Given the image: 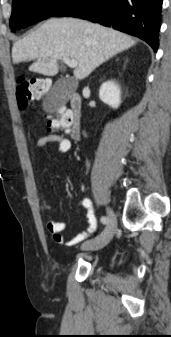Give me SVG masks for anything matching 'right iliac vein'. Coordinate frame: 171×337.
I'll return each mask as SVG.
<instances>
[{"label": "right iliac vein", "instance_id": "obj_1", "mask_svg": "<svg viewBox=\"0 0 171 337\" xmlns=\"http://www.w3.org/2000/svg\"><path fill=\"white\" fill-rule=\"evenodd\" d=\"M107 216L108 223L104 231L96 238L84 242L82 245L84 250H99L111 241L117 228V219L111 208H107Z\"/></svg>", "mask_w": 171, "mask_h": 337}]
</instances>
